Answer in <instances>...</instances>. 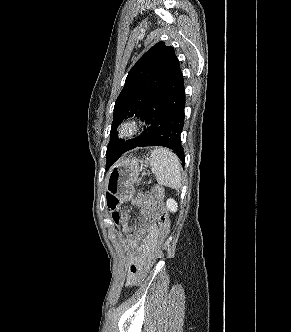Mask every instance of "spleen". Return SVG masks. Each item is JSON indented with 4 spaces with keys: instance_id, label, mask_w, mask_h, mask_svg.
I'll use <instances>...</instances> for the list:
<instances>
[{
    "instance_id": "3e777b00",
    "label": "spleen",
    "mask_w": 291,
    "mask_h": 332,
    "mask_svg": "<svg viewBox=\"0 0 291 332\" xmlns=\"http://www.w3.org/2000/svg\"><path fill=\"white\" fill-rule=\"evenodd\" d=\"M150 166L160 185L178 189L181 187L180 160L171 150L156 148L151 152Z\"/></svg>"
}]
</instances>
